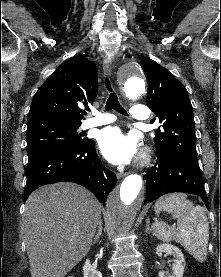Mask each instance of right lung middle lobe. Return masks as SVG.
<instances>
[{
  "mask_svg": "<svg viewBox=\"0 0 221 277\" xmlns=\"http://www.w3.org/2000/svg\"><path fill=\"white\" fill-rule=\"evenodd\" d=\"M80 124L49 122L27 126V154L29 162L45 154L68 150L82 144L77 132Z\"/></svg>",
  "mask_w": 221,
  "mask_h": 277,
  "instance_id": "1",
  "label": "right lung middle lobe"
}]
</instances>
